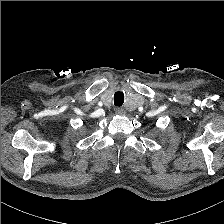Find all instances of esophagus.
I'll return each mask as SVG.
<instances>
[{
    "instance_id": "1",
    "label": "esophagus",
    "mask_w": 224,
    "mask_h": 224,
    "mask_svg": "<svg viewBox=\"0 0 224 224\" xmlns=\"http://www.w3.org/2000/svg\"><path fill=\"white\" fill-rule=\"evenodd\" d=\"M126 113L125 109L123 108H117L116 109V114H119V115H124Z\"/></svg>"
}]
</instances>
